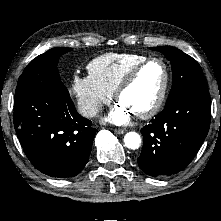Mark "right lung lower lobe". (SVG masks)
Masks as SVG:
<instances>
[{
	"label": "right lung lower lobe",
	"instance_id": "1",
	"mask_svg": "<svg viewBox=\"0 0 221 221\" xmlns=\"http://www.w3.org/2000/svg\"><path fill=\"white\" fill-rule=\"evenodd\" d=\"M14 126L30 162L42 173L74 177L88 161L96 129L70 96L38 92L14 103Z\"/></svg>",
	"mask_w": 221,
	"mask_h": 221
}]
</instances>
